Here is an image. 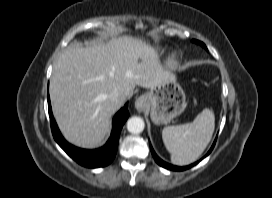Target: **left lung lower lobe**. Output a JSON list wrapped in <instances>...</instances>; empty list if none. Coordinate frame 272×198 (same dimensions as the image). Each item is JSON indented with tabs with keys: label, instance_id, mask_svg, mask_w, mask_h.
<instances>
[{
	"label": "left lung lower lobe",
	"instance_id": "1",
	"mask_svg": "<svg viewBox=\"0 0 272 198\" xmlns=\"http://www.w3.org/2000/svg\"><path fill=\"white\" fill-rule=\"evenodd\" d=\"M215 142H216V140L214 141V143H213L211 149L209 150V152H208L205 156H207V155L212 151V149H213V147H214V145H215ZM150 149H151V152H152V155H153L155 161H156L160 166H162V167H164V168H166V169L175 170V171H183V170L189 169V168H191L192 166H194V165L197 164V162H196V163H193V164H191V165H189V166H185V167L173 166V165L168 164V163L164 162L163 160H161V159L155 154V152H154V150L152 149V147H150Z\"/></svg>",
	"mask_w": 272,
	"mask_h": 198
}]
</instances>
